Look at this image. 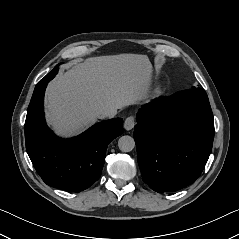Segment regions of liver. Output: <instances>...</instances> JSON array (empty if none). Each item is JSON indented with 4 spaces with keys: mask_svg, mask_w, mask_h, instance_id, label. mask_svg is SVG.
<instances>
[{
    "mask_svg": "<svg viewBox=\"0 0 239 239\" xmlns=\"http://www.w3.org/2000/svg\"><path fill=\"white\" fill-rule=\"evenodd\" d=\"M146 56L120 54L92 57L59 75L46 90V118L61 136L94 124L100 112L143 100L150 86Z\"/></svg>",
    "mask_w": 239,
    "mask_h": 239,
    "instance_id": "liver-1",
    "label": "liver"
}]
</instances>
